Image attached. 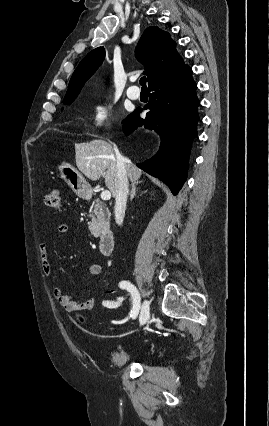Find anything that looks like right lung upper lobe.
<instances>
[{"mask_svg": "<svg viewBox=\"0 0 269 426\" xmlns=\"http://www.w3.org/2000/svg\"><path fill=\"white\" fill-rule=\"evenodd\" d=\"M104 56L105 49L98 47L82 59L71 77L64 99L77 97L85 82L103 62ZM136 57L146 69L144 74L147 75L149 86L185 66L169 33L156 26L144 31L136 48Z\"/></svg>", "mask_w": 269, "mask_h": 426, "instance_id": "obj_1", "label": "right lung upper lobe"}]
</instances>
